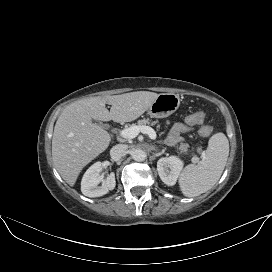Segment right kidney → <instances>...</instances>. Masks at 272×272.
Listing matches in <instances>:
<instances>
[{"instance_id":"ca27d5eb","label":"right kidney","mask_w":272,"mask_h":272,"mask_svg":"<svg viewBox=\"0 0 272 272\" xmlns=\"http://www.w3.org/2000/svg\"><path fill=\"white\" fill-rule=\"evenodd\" d=\"M101 170L102 163L96 162L85 172L81 181V191L85 196L100 197L115 188V174L110 173L104 180V176L99 174Z\"/></svg>"}]
</instances>
